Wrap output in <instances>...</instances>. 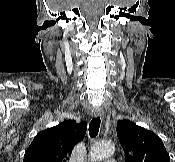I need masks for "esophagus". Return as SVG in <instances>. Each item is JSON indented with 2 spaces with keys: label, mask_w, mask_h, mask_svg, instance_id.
Listing matches in <instances>:
<instances>
[{
  "label": "esophagus",
  "mask_w": 175,
  "mask_h": 162,
  "mask_svg": "<svg viewBox=\"0 0 175 162\" xmlns=\"http://www.w3.org/2000/svg\"><path fill=\"white\" fill-rule=\"evenodd\" d=\"M94 116H95V117L103 118V117H104V111H103L101 108H97V109L94 111Z\"/></svg>",
  "instance_id": "34e87169"
}]
</instances>
